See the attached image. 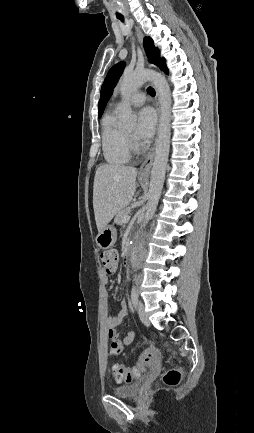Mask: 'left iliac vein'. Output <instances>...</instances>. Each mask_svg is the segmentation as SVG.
<instances>
[{"instance_id":"left-iliac-vein-1","label":"left iliac vein","mask_w":254,"mask_h":433,"mask_svg":"<svg viewBox=\"0 0 254 433\" xmlns=\"http://www.w3.org/2000/svg\"><path fill=\"white\" fill-rule=\"evenodd\" d=\"M137 307H138V313H139V317L141 322L145 325V326H149L150 325V321L148 319V315L145 311V307L143 305V303L141 301H139L137 303Z\"/></svg>"}]
</instances>
